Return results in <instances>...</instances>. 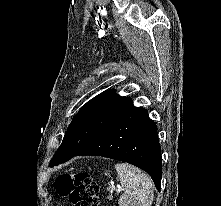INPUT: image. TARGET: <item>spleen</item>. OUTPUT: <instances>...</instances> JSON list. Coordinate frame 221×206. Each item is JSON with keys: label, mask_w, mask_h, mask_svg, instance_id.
Returning <instances> with one entry per match:
<instances>
[{"label": "spleen", "mask_w": 221, "mask_h": 206, "mask_svg": "<svg viewBox=\"0 0 221 206\" xmlns=\"http://www.w3.org/2000/svg\"><path fill=\"white\" fill-rule=\"evenodd\" d=\"M115 169L124 189L119 206H151L154 193L150 178L137 167L126 163H117Z\"/></svg>", "instance_id": "spleen-1"}]
</instances>
